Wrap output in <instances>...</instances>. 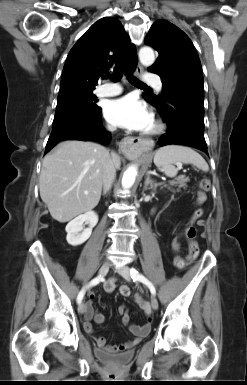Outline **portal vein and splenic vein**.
<instances>
[{"mask_svg":"<svg viewBox=\"0 0 247 385\" xmlns=\"http://www.w3.org/2000/svg\"><path fill=\"white\" fill-rule=\"evenodd\" d=\"M183 167H182V165L181 164H179V165H177V169L178 170H181ZM163 183H159V185H162ZM85 194H88V192L87 191H85L84 192Z\"/></svg>","mask_w":247,"mask_h":385,"instance_id":"portal-vein-and-splenic-vein-1","label":"portal vein and splenic vein"}]
</instances>
